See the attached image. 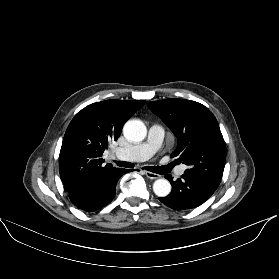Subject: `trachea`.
I'll return each mask as SVG.
<instances>
[{
  "label": "trachea",
  "instance_id": "trachea-1",
  "mask_svg": "<svg viewBox=\"0 0 279 279\" xmlns=\"http://www.w3.org/2000/svg\"><path fill=\"white\" fill-rule=\"evenodd\" d=\"M115 163L120 166V167H125V168H133L134 165L132 163L129 162H124V161H115ZM174 164H169L167 166H162V167H155V166H146L144 169L157 173V174H165L167 172H169L172 168H173Z\"/></svg>",
  "mask_w": 279,
  "mask_h": 279
}]
</instances>
